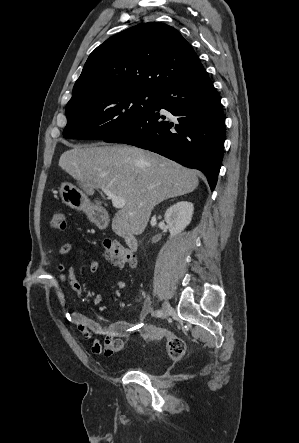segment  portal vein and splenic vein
Returning a JSON list of instances; mask_svg holds the SVG:
<instances>
[{
	"instance_id": "1",
	"label": "portal vein and splenic vein",
	"mask_w": 299,
	"mask_h": 443,
	"mask_svg": "<svg viewBox=\"0 0 299 443\" xmlns=\"http://www.w3.org/2000/svg\"><path fill=\"white\" fill-rule=\"evenodd\" d=\"M102 191L108 198L112 200V204L115 208L117 209L124 208L125 200L122 197L115 195L109 189H102Z\"/></svg>"
}]
</instances>
